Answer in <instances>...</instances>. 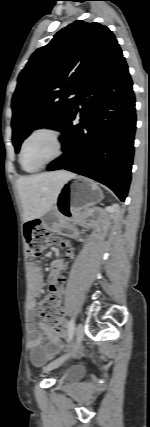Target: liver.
Returning <instances> with one entry per match:
<instances>
[{
	"instance_id": "obj_1",
	"label": "liver",
	"mask_w": 150,
	"mask_h": 427,
	"mask_svg": "<svg viewBox=\"0 0 150 427\" xmlns=\"http://www.w3.org/2000/svg\"><path fill=\"white\" fill-rule=\"evenodd\" d=\"M75 175L66 171L42 173L17 180L24 221L42 217L55 204L59 192Z\"/></svg>"
}]
</instances>
